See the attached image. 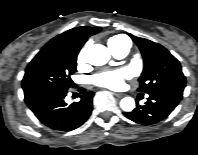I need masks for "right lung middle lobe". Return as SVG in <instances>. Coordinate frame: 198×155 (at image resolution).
<instances>
[{"mask_svg":"<svg viewBox=\"0 0 198 155\" xmlns=\"http://www.w3.org/2000/svg\"><path fill=\"white\" fill-rule=\"evenodd\" d=\"M80 48L76 44L45 45L25 70L23 90L39 87L68 90L73 85L71 75L76 70Z\"/></svg>","mask_w":198,"mask_h":155,"instance_id":"right-lung-middle-lobe-1","label":"right lung middle lobe"}]
</instances>
